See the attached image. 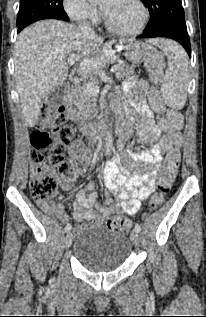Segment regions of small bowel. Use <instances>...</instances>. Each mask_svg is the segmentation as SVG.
<instances>
[{"label": "small bowel", "mask_w": 206, "mask_h": 317, "mask_svg": "<svg viewBox=\"0 0 206 317\" xmlns=\"http://www.w3.org/2000/svg\"><path fill=\"white\" fill-rule=\"evenodd\" d=\"M124 91L129 97L131 107L126 110L121 121L123 134L120 138V151L107 165L104 173L106 187L116 195V200L113 201L107 196L108 206H100L98 195L93 191L95 184H88L77 193L73 202V217L79 222L88 221L94 225H102L116 214H136L141 202L155 191V175L163 157L169 156L173 151L179 152L181 135L164 131L154 121V114L160 115L164 109L159 90L156 87L149 88L146 81L131 76L124 84ZM134 126L137 127V138L151 144L149 150L137 149L133 144L124 148ZM70 154L72 158L82 161L87 158V153L79 142L72 144ZM59 184L66 193L74 192L72 179L60 178ZM39 205L47 214L58 218L62 223L69 222L62 204L47 200L39 201ZM84 229L85 225L79 224L75 231L80 233Z\"/></svg>", "instance_id": "small-bowel-1"}]
</instances>
